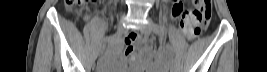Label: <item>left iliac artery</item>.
<instances>
[{
	"label": "left iliac artery",
	"mask_w": 267,
	"mask_h": 72,
	"mask_svg": "<svg viewBox=\"0 0 267 72\" xmlns=\"http://www.w3.org/2000/svg\"><path fill=\"white\" fill-rule=\"evenodd\" d=\"M153 31L156 34H158L159 36H163L164 35L163 29H162L161 25H159V24H153ZM167 60H168V63L170 64V66L174 65V60H173V58L171 57L170 54L167 55Z\"/></svg>",
	"instance_id": "left-iliac-artery-1"
}]
</instances>
